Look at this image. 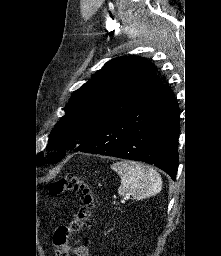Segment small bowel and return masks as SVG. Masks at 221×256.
<instances>
[{
	"label": "small bowel",
	"instance_id": "small-bowel-1",
	"mask_svg": "<svg viewBox=\"0 0 221 256\" xmlns=\"http://www.w3.org/2000/svg\"><path fill=\"white\" fill-rule=\"evenodd\" d=\"M76 256H90L89 249L84 245H79L73 249Z\"/></svg>",
	"mask_w": 221,
	"mask_h": 256
}]
</instances>
